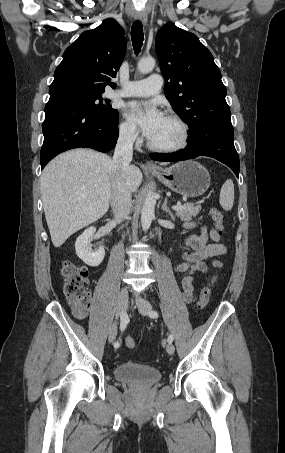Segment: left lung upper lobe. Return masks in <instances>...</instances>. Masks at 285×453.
<instances>
[{"label":"left lung upper lobe","instance_id":"5c2ea615","mask_svg":"<svg viewBox=\"0 0 285 453\" xmlns=\"http://www.w3.org/2000/svg\"><path fill=\"white\" fill-rule=\"evenodd\" d=\"M155 49L166 98L190 131L209 123L231 124L221 72L197 36L168 23L158 31Z\"/></svg>","mask_w":285,"mask_h":453}]
</instances>
